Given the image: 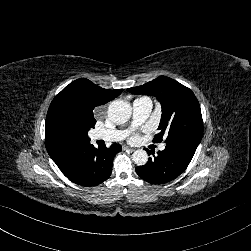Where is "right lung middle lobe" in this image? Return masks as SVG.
<instances>
[{
    "label": "right lung middle lobe",
    "mask_w": 251,
    "mask_h": 251,
    "mask_svg": "<svg viewBox=\"0 0 251 251\" xmlns=\"http://www.w3.org/2000/svg\"><path fill=\"white\" fill-rule=\"evenodd\" d=\"M94 124L95 122H78L65 115L56 116L52 122L54 129L60 132H70L75 130H83L84 132H88L90 128L94 127Z\"/></svg>",
    "instance_id": "dd1d6c3e"
}]
</instances>
